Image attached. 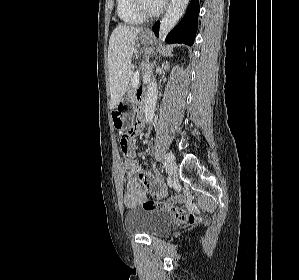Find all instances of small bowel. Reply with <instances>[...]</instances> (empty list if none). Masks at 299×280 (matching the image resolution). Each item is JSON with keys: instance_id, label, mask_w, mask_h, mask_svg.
<instances>
[{"instance_id": "1", "label": "small bowel", "mask_w": 299, "mask_h": 280, "mask_svg": "<svg viewBox=\"0 0 299 280\" xmlns=\"http://www.w3.org/2000/svg\"><path fill=\"white\" fill-rule=\"evenodd\" d=\"M138 94H141V92ZM143 121L144 119L139 111L136 121L130 127L134 135L142 129ZM149 150L153 152V147L150 146ZM167 193V187L158 175L157 170H155V174L143 171L138 176H130L126 179V191L123 201L127 208L132 209L148 201L149 195L156 199H163L167 197Z\"/></svg>"}]
</instances>
